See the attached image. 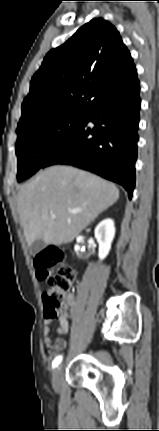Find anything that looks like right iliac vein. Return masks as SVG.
Wrapping results in <instances>:
<instances>
[{
	"mask_svg": "<svg viewBox=\"0 0 159 431\" xmlns=\"http://www.w3.org/2000/svg\"><path fill=\"white\" fill-rule=\"evenodd\" d=\"M62 374H63V367H62V365H60L54 370L53 377H52V384H53L54 389H56V390H58L60 388Z\"/></svg>",
	"mask_w": 159,
	"mask_h": 431,
	"instance_id": "63e3f726",
	"label": "right iliac vein"
}]
</instances>
